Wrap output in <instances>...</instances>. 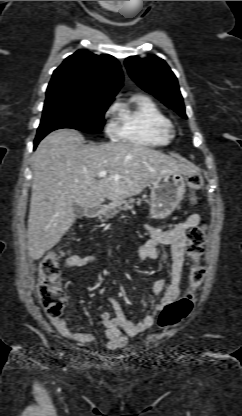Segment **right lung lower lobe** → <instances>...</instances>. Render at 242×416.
<instances>
[{"instance_id":"right-lung-lower-lobe-1","label":"right lung lower lobe","mask_w":242,"mask_h":416,"mask_svg":"<svg viewBox=\"0 0 242 416\" xmlns=\"http://www.w3.org/2000/svg\"><path fill=\"white\" fill-rule=\"evenodd\" d=\"M42 138H36L35 139V141H34V148H36L37 147V145H38V143H39V141L41 140Z\"/></svg>"}]
</instances>
